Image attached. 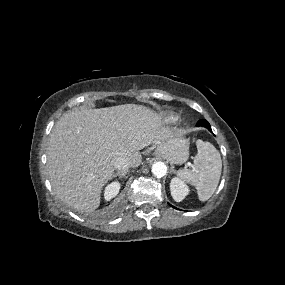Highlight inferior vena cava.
Wrapping results in <instances>:
<instances>
[{
    "label": "inferior vena cava",
    "instance_id": "1",
    "mask_svg": "<svg viewBox=\"0 0 285 285\" xmlns=\"http://www.w3.org/2000/svg\"><path fill=\"white\" fill-rule=\"evenodd\" d=\"M129 167H131V163L122 157H118L114 162V168L119 171L127 170Z\"/></svg>",
    "mask_w": 285,
    "mask_h": 285
}]
</instances>
